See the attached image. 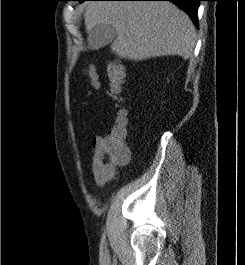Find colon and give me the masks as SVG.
<instances>
[{
    "instance_id": "colon-1",
    "label": "colon",
    "mask_w": 245,
    "mask_h": 265,
    "mask_svg": "<svg viewBox=\"0 0 245 265\" xmlns=\"http://www.w3.org/2000/svg\"><path fill=\"white\" fill-rule=\"evenodd\" d=\"M107 76L110 83V92L118 96L123 88L125 81V71L118 61H110L106 67ZM87 77L94 88H98V75L94 67L90 66L87 71ZM127 118L124 111H120L115 126L103 137L102 144L93 154V165L98 170L112 176L117 167L125 164L130 152L127 147Z\"/></svg>"
}]
</instances>
